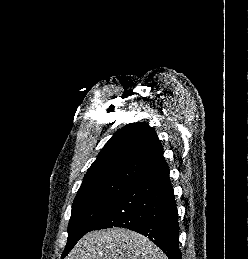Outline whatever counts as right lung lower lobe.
I'll list each match as a JSON object with an SVG mask.
<instances>
[{
	"label": "right lung lower lobe",
	"mask_w": 248,
	"mask_h": 259,
	"mask_svg": "<svg viewBox=\"0 0 248 259\" xmlns=\"http://www.w3.org/2000/svg\"><path fill=\"white\" fill-rule=\"evenodd\" d=\"M111 227L148 236L169 259H182L178 212L168 167L132 184L90 231Z\"/></svg>",
	"instance_id": "98d812e1"
}]
</instances>
